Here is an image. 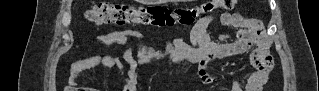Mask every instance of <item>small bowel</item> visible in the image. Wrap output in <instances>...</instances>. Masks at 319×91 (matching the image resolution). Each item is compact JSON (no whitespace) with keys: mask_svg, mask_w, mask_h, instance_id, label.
<instances>
[{"mask_svg":"<svg viewBox=\"0 0 319 91\" xmlns=\"http://www.w3.org/2000/svg\"><path fill=\"white\" fill-rule=\"evenodd\" d=\"M213 18L210 16L201 18L192 28L189 42L182 37H175L166 44L163 51H156L145 42L144 37L135 30L127 29L113 31L99 37L101 46L118 45L122 49V59L110 55H98L92 58L75 62L71 68V83L76 84L81 72L93 68H109L121 71L124 75L122 91H136L138 71L141 67L166 61L173 65L183 66L195 64L198 68V76L204 84H214L217 81L212 72L213 60L244 54L252 50L250 59L254 71L246 78L243 85L240 80H235L230 91H260L268 80V71L257 63L261 52L268 46L260 23L252 18H246L237 13H223L221 23L224 27L237 30L232 37L229 34L221 35L212 40L209 36V26ZM130 40L139 43L140 57L136 59L131 53Z\"/></svg>","mask_w":319,"mask_h":91,"instance_id":"c3829d8e","label":"small bowel"}]
</instances>
